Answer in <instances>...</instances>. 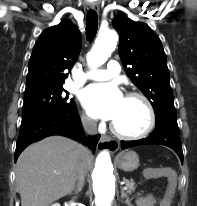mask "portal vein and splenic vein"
Segmentation results:
<instances>
[{
    "instance_id": "18ae733b",
    "label": "portal vein and splenic vein",
    "mask_w": 197,
    "mask_h": 206,
    "mask_svg": "<svg viewBox=\"0 0 197 206\" xmlns=\"http://www.w3.org/2000/svg\"><path fill=\"white\" fill-rule=\"evenodd\" d=\"M123 189H124V190H126V189H127V187H126V186H124V187H123Z\"/></svg>"
}]
</instances>
